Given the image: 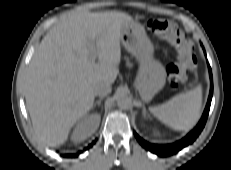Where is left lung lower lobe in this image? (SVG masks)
<instances>
[{
	"label": "left lung lower lobe",
	"mask_w": 231,
	"mask_h": 170,
	"mask_svg": "<svg viewBox=\"0 0 231 170\" xmlns=\"http://www.w3.org/2000/svg\"><path fill=\"white\" fill-rule=\"evenodd\" d=\"M209 72H210V79H211L210 95L208 98L206 109H205L204 114H203L200 122L198 123V125L182 140H180L176 143H173V144H169V145H155V144L148 143L145 140H143L142 138H140L135 133V137L137 138L138 142L145 149H147V150H149V151H151L157 155H160V156L172 155V154H175L178 151H180L183 147H186L187 145L191 144L198 137V135L200 134V132L202 131V129L205 126V123H206V120H207V117L209 114L212 95H213V79H212V72H211L210 67H209Z\"/></svg>",
	"instance_id": "obj_1"
}]
</instances>
